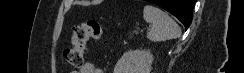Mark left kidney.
I'll list each match as a JSON object with an SVG mask.
<instances>
[{
    "mask_svg": "<svg viewBox=\"0 0 244 73\" xmlns=\"http://www.w3.org/2000/svg\"><path fill=\"white\" fill-rule=\"evenodd\" d=\"M153 55L145 50H130L123 54L114 68V73H150Z\"/></svg>",
    "mask_w": 244,
    "mask_h": 73,
    "instance_id": "5707ae66",
    "label": "left kidney"
}]
</instances>
